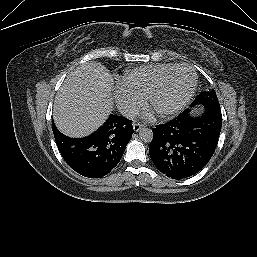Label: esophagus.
Instances as JSON below:
<instances>
[{"label": "esophagus", "instance_id": "1", "mask_svg": "<svg viewBox=\"0 0 257 257\" xmlns=\"http://www.w3.org/2000/svg\"><path fill=\"white\" fill-rule=\"evenodd\" d=\"M142 127H143V125L140 124V123H134L133 124V129H134L135 132H138Z\"/></svg>", "mask_w": 257, "mask_h": 257}]
</instances>
